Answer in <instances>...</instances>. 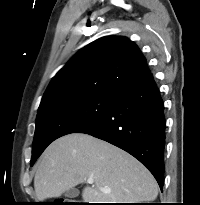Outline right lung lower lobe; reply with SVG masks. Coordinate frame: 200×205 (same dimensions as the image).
I'll return each mask as SVG.
<instances>
[{
	"instance_id": "right-lung-lower-lobe-1",
	"label": "right lung lower lobe",
	"mask_w": 200,
	"mask_h": 205,
	"mask_svg": "<svg viewBox=\"0 0 200 205\" xmlns=\"http://www.w3.org/2000/svg\"><path fill=\"white\" fill-rule=\"evenodd\" d=\"M75 133L107 141L133 155L164 184V104L151 73L117 95L108 110Z\"/></svg>"
}]
</instances>
